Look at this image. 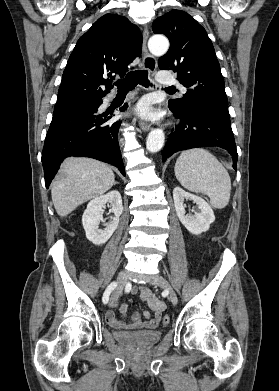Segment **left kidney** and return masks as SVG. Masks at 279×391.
Returning <instances> with one entry per match:
<instances>
[{"instance_id":"1","label":"left kidney","mask_w":279,"mask_h":391,"mask_svg":"<svg viewBox=\"0 0 279 391\" xmlns=\"http://www.w3.org/2000/svg\"><path fill=\"white\" fill-rule=\"evenodd\" d=\"M173 199L177 216L190 233L199 235L202 232H206L210 224L215 221V215L211 206L203 198L188 193L180 187H175ZM185 200H191L197 204L198 211L194 215L186 214Z\"/></svg>"}]
</instances>
